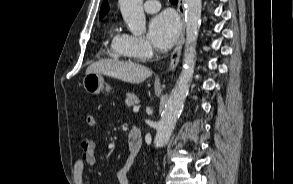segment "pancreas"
Segmentation results:
<instances>
[{"mask_svg": "<svg viewBox=\"0 0 293 184\" xmlns=\"http://www.w3.org/2000/svg\"><path fill=\"white\" fill-rule=\"evenodd\" d=\"M139 103L138 97L133 93H127L125 97V104L128 107L134 106Z\"/></svg>", "mask_w": 293, "mask_h": 184, "instance_id": "pancreas-1", "label": "pancreas"}]
</instances>
